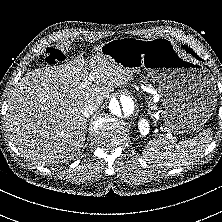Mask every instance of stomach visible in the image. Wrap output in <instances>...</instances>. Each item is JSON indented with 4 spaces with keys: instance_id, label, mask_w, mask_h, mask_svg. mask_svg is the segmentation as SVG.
Returning a JSON list of instances; mask_svg holds the SVG:
<instances>
[{
    "instance_id": "1",
    "label": "stomach",
    "mask_w": 222,
    "mask_h": 222,
    "mask_svg": "<svg viewBox=\"0 0 222 222\" xmlns=\"http://www.w3.org/2000/svg\"><path fill=\"white\" fill-rule=\"evenodd\" d=\"M100 53L114 64L136 72L143 67L158 83L164 125L182 133L204 125L216 104V88L208 69L180 53L169 38H117Z\"/></svg>"
}]
</instances>
